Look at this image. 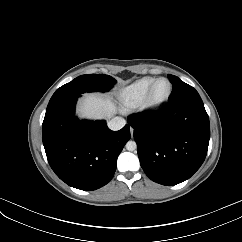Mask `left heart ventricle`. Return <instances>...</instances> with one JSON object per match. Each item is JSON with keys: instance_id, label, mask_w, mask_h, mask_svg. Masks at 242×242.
<instances>
[{"instance_id": "obj_1", "label": "left heart ventricle", "mask_w": 242, "mask_h": 242, "mask_svg": "<svg viewBox=\"0 0 242 242\" xmlns=\"http://www.w3.org/2000/svg\"><path fill=\"white\" fill-rule=\"evenodd\" d=\"M168 90H169L168 82L165 80H161L156 84L154 88L153 96L156 99H160L167 94Z\"/></svg>"}]
</instances>
